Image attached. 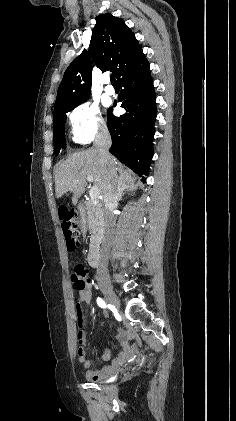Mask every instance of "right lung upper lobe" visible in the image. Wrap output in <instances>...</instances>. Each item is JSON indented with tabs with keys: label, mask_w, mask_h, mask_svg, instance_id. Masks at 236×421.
Returning a JSON list of instances; mask_svg holds the SVG:
<instances>
[{
	"label": "right lung upper lobe",
	"mask_w": 236,
	"mask_h": 421,
	"mask_svg": "<svg viewBox=\"0 0 236 421\" xmlns=\"http://www.w3.org/2000/svg\"><path fill=\"white\" fill-rule=\"evenodd\" d=\"M96 21L88 52L84 50L64 73L54 109L89 97L92 82L90 59L102 71L111 70L117 77L121 70L144 55L123 19L107 13L99 15Z\"/></svg>",
	"instance_id": "1"
}]
</instances>
